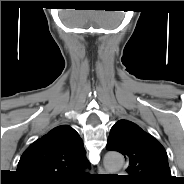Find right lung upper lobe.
<instances>
[{
    "instance_id": "right-lung-upper-lobe-1",
    "label": "right lung upper lobe",
    "mask_w": 184,
    "mask_h": 184,
    "mask_svg": "<svg viewBox=\"0 0 184 184\" xmlns=\"http://www.w3.org/2000/svg\"><path fill=\"white\" fill-rule=\"evenodd\" d=\"M90 167L77 131L68 125H61L26 149L17 172L27 182L56 184L73 181L81 170Z\"/></svg>"
}]
</instances>
